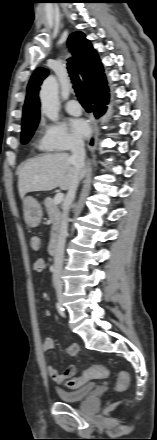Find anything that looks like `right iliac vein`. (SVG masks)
<instances>
[{"label":"right iliac vein","mask_w":157,"mask_h":440,"mask_svg":"<svg viewBox=\"0 0 157 440\" xmlns=\"http://www.w3.org/2000/svg\"><path fill=\"white\" fill-rule=\"evenodd\" d=\"M56 294H57V299H58L59 303H60V304H63V302H64V296H63V293H62L61 288H57V289H56Z\"/></svg>","instance_id":"right-iliac-vein-1"}]
</instances>
